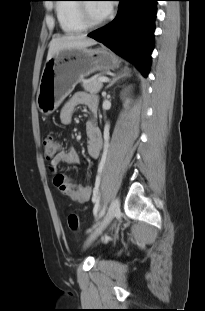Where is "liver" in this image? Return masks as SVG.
Returning a JSON list of instances; mask_svg holds the SVG:
<instances>
[{
  "instance_id": "6515ba94",
  "label": "liver",
  "mask_w": 205,
  "mask_h": 311,
  "mask_svg": "<svg viewBox=\"0 0 205 311\" xmlns=\"http://www.w3.org/2000/svg\"><path fill=\"white\" fill-rule=\"evenodd\" d=\"M95 44H97V41L87 37L85 34L55 37L49 44L47 60L51 59L62 50L82 49Z\"/></svg>"
}]
</instances>
